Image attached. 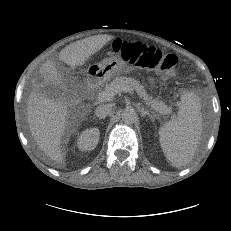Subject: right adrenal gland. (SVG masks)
I'll return each instance as SVG.
<instances>
[{
  "mask_svg": "<svg viewBox=\"0 0 231 231\" xmlns=\"http://www.w3.org/2000/svg\"><path fill=\"white\" fill-rule=\"evenodd\" d=\"M92 119H94V120H96V121H97L96 117H93Z\"/></svg>",
  "mask_w": 231,
  "mask_h": 231,
  "instance_id": "obj_1",
  "label": "right adrenal gland"
}]
</instances>
